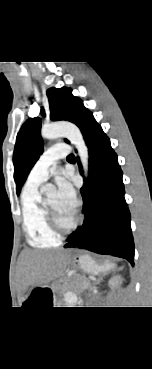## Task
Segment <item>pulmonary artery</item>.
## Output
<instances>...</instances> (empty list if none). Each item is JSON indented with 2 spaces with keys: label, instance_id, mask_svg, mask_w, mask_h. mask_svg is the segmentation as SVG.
<instances>
[{
  "label": "pulmonary artery",
  "instance_id": "pulmonary-artery-1",
  "mask_svg": "<svg viewBox=\"0 0 152 369\" xmlns=\"http://www.w3.org/2000/svg\"><path fill=\"white\" fill-rule=\"evenodd\" d=\"M69 153L70 147L66 144H56L45 150L32 167L27 178V185L39 186L45 182L57 160L65 158Z\"/></svg>",
  "mask_w": 152,
  "mask_h": 369
}]
</instances>
